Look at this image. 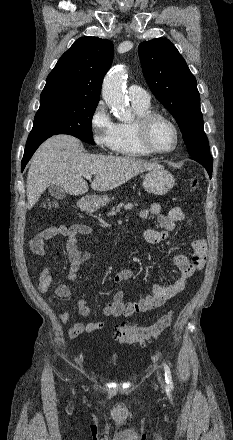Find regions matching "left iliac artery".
Returning a JSON list of instances; mask_svg holds the SVG:
<instances>
[{"label":"left iliac artery","mask_w":233,"mask_h":440,"mask_svg":"<svg viewBox=\"0 0 233 440\" xmlns=\"http://www.w3.org/2000/svg\"><path fill=\"white\" fill-rule=\"evenodd\" d=\"M165 381L169 388H173L172 376L170 368L167 364H164Z\"/></svg>","instance_id":"left-iliac-artery-1"}]
</instances>
